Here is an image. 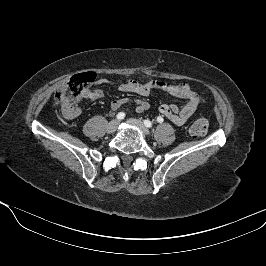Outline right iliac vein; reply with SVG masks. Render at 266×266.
<instances>
[{
  "mask_svg": "<svg viewBox=\"0 0 266 266\" xmlns=\"http://www.w3.org/2000/svg\"><path fill=\"white\" fill-rule=\"evenodd\" d=\"M119 125V121L118 120H112L111 122H109V124L107 125L106 131L108 133H113L117 130Z\"/></svg>",
  "mask_w": 266,
  "mask_h": 266,
  "instance_id": "1",
  "label": "right iliac vein"
}]
</instances>
